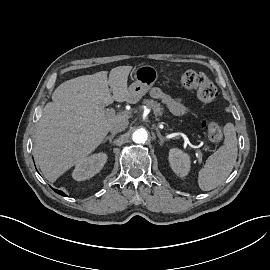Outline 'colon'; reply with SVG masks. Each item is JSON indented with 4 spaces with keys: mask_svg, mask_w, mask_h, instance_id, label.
<instances>
[{
    "mask_svg": "<svg viewBox=\"0 0 270 270\" xmlns=\"http://www.w3.org/2000/svg\"><path fill=\"white\" fill-rule=\"evenodd\" d=\"M180 84L186 89L195 91L198 100L203 104L212 102L217 96L215 85L201 72L186 71L180 78ZM201 127L211 141L219 142L222 139V126L219 122L203 119Z\"/></svg>",
    "mask_w": 270,
    "mask_h": 270,
    "instance_id": "colon-1",
    "label": "colon"
}]
</instances>
